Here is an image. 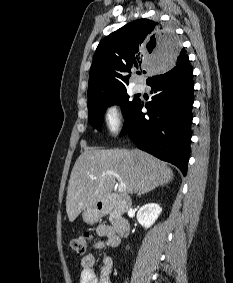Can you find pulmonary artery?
<instances>
[{
	"label": "pulmonary artery",
	"instance_id": "obj_1",
	"mask_svg": "<svg viewBox=\"0 0 233 283\" xmlns=\"http://www.w3.org/2000/svg\"><path fill=\"white\" fill-rule=\"evenodd\" d=\"M134 90L136 92H142L143 91V86L141 84H137V85H135Z\"/></svg>",
	"mask_w": 233,
	"mask_h": 283
}]
</instances>
